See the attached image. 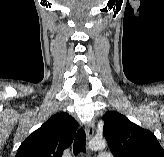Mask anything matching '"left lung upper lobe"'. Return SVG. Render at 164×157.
Instances as JSON below:
<instances>
[{
	"mask_svg": "<svg viewBox=\"0 0 164 157\" xmlns=\"http://www.w3.org/2000/svg\"><path fill=\"white\" fill-rule=\"evenodd\" d=\"M103 120L104 136L115 157H164V149L149 130L116 111L105 113Z\"/></svg>",
	"mask_w": 164,
	"mask_h": 157,
	"instance_id": "5c2ea615",
	"label": "left lung upper lobe"
}]
</instances>
